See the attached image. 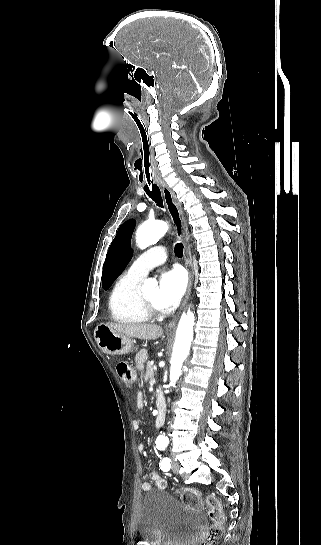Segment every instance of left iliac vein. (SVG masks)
<instances>
[{
	"mask_svg": "<svg viewBox=\"0 0 321 545\" xmlns=\"http://www.w3.org/2000/svg\"><path fill=\"white\" fill-rule=\"evenodd\" d=\"M171 469L175 474H178L179 464L175 460H172Z\"/></svg>",
	"mask_w": 321,
	"mask_h": 545,
	"instance_id": "left-iliac-vein-1",
	"label": "left iliac vein"
}]
</instances>
